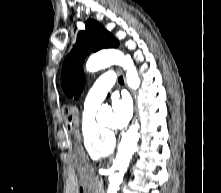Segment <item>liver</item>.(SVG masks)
I'll return each instance as SVG.
<instances>
[{"label": "liver", "mask_w": 221, "mask_h": 193, "mask_svg": "<svg viewBox=\"0 0 221 193\" xmlns=\"http://www.w3.org/2000/svg\"><path fill=\"white\" fill-rule=\"evenodd\" d=\"M78 190V179L75 175L70 180V193H76Z\"/></svg>", "instance_id": "obj_1"}]
</instances>
